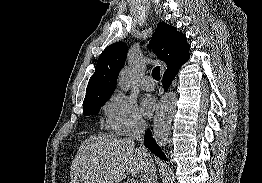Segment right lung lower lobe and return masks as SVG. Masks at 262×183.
<instances>
[{"label":"right lung lower lobe","mask_w":262,"mask_h":183,"mask_svg":"<svg viewBox=\"0 0 262 183\" xmlns=\"http://www.w3.org/2000/svg\"><path fill=\"white\" fill-rule=\"evenodd\" d=\"M177 73L178 71L163 75L164 91L168 89ZM144 145L152 152H154L155 155H157L159 158L166 160V156L164 155L160 147L157 145L155 140L151 137L150 130H147V132L145 133Z\"/></svg>","instance_id":"obj_1"}]
</instances>
